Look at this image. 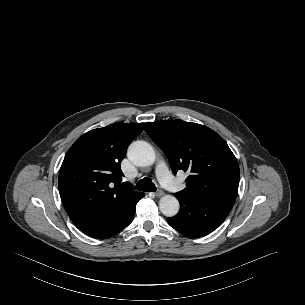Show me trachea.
I'll return each mask as SVG.
<instances>
[{
  "instance_id": "obj_1",
  "label": "trachea",
  "mask_w": 305,
  "mask_h": 305,
  "mask_svg": "<svg viewBox=\"0 0 305 305\" xmlns=\"http://www.w3.org/2000/svg\"><path fill=\"white\" fill-rule=\"evenodd\" d=\"M136 190L145 191V192H154L156 191L155 184L149 177H145L144 179L140 180L136 186Z\"/></svg>"
}]
</instances>
